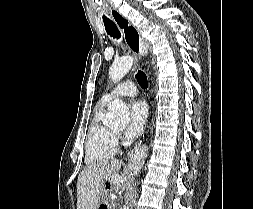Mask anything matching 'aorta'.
Wrapping results in <instances>:
<instances>
[{"mask_svg":"<svg viewBox=\"0 0 253 209\" xmlns=\"http://www.w3.org/2000/svg\"><path fill=\"white\" fill-rule=\"evenodd\" d=\"M134 59L131 56H124L115 61L109 68V78L114 83L119 82L132 68ZM129 121V108L121 100L116 99L109 105V112L107 115L106 123L112 126H125ZM135 194L132 196V203L135 202ZM129 206H132L131 204ZM127 206L126 209H129Z\"/></svg>","mask_w":253,"mask_h":209,"instance_id":"1","label":"aorta"}]
</instances>
